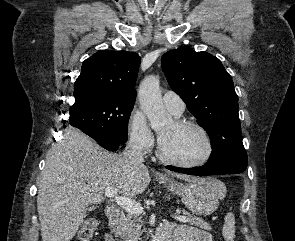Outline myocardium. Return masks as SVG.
Returning a JSON list of instances; mask_svg holds the SVG:
<instances>
[{"label": "myocardium", "instance_id": "obj_1", "mask_svg": "<svg viewBox=\"0 0 295 241\" xmlns=\"http://www.w3.org/2000/svg\"><path fill=\"white\" fill-rule=\"evenodd\" d=\"M174 124L178 127H181V128H188L189 127V128L196 129L205 140L206 152L202 158H200L199 160H196V161H192V162L178 161L173 158H170L169 156H167L165 154V152L163 150L161 139H159L158 148H157L158 158L164 163H167V164H170V165H173L176 167H180V168H187V169L197 168V167H201V166L207 164L212 159L214 152H215L214 141H213L210 133L207 131V129L205 127H203L201 124H199L195 121H191V120L176 119L174 121Z\"/></svg>", "mask_w": 295, "mask_h": 241}]
</instances>
